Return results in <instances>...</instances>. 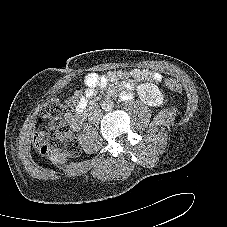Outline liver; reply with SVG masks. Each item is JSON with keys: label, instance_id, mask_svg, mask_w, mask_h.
Here are the masks:
<instances>
[{"label": "liver", "instance_id": "obj_1", "mask_svg": "<svg viewBox=\"0 0 227 227\" xmlns=\"http://www.w3.org/2000/svg\"><path fill=\"white\" fill-rule=\"evenodd\" d=\"M49 159L54 163V164H57V163H64L65 161V157H59L56 153H52L50 154L49 156Z\"/></svg>", "mask_w": 227, "mask_h": 227}]
</instances>
